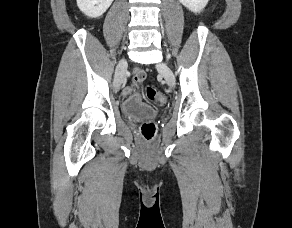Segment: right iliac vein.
<instances>
[{
	"instance_id": "63e3f726",
	"label": "right iliac vein",
	"mask_w": 292,
	"mask_h": 228,
	"mask_svg": "<svg viewBox=\"0 0 292 228\" xmlns=\"http://www.w3.org/2000/svg\"><path fill=\"white\" fill-rule=\"evenodd\" d=\"M127 66V62L125 59H121L117 65L115 71V79H114V88L119 89L124 82L125 79V69Z\"/></svg>"
}]
</instances>
